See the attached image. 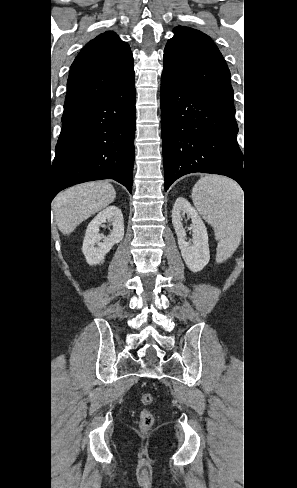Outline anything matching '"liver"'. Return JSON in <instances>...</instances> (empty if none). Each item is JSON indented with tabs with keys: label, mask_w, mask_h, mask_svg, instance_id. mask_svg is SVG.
I'll use <instances>...</instances> for the list:
<instances>
[{
	"label": "liver",
	"mask_w": 297,
	"mask_h": 488,
	"mask_svg": "<svg viewBox=\"0 0 297 488\" xmlns=\"http://www.w3.org/2000/svg\"><path fill=\"white\" fill-rule=\"evenodd\" d=\"M115 198L114 187L104 181L79 184L61 192L52 202L60 232L71 234L81 222L107 207Z\"/></svg>",
	"instance_id": "liver-1"
}]
</instances>
